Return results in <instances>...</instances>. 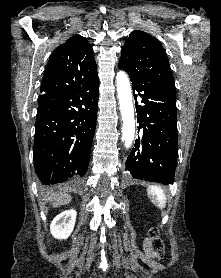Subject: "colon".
Instances as JSON below:
<instances>
[{
	"label": "colon",
	"instance_id": "colon-1",
	"mask_svg": "<svg viewBox=\"0 0 221 278\" xmlns=\"http://www.w3.org/2000/svg\"><path fill=\"white\" fill-rule=\"evenodd\" d=\"M150 242L149 247L151 254L157 257H163L164 254V243L159 236V230L156 227H153L149 231Z\"/></svg>",
	"mask_w": 221,
	"mask_h": 278
}]
</instances>
